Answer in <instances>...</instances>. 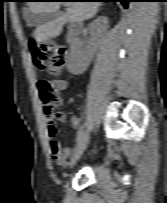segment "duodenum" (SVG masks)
I'll list each match as a JSON object with an SVG mask.
<instances>
[{"label":"duodenum","mask_w":167,"mask_h":203,"mask_svg":"<svg viewBox=\"0 0 167 203\" xmlns=\"http://www.w3.org/2000/svg\"><path fill=\"white\" fill-rule=\"evenodd\" d=\"M82 31V25L80 22L77 21H72L68 24V29H67V41L69 43H72L78 35Z\"/></svg>","instance_id":"410a0bca"}]
</instances>
